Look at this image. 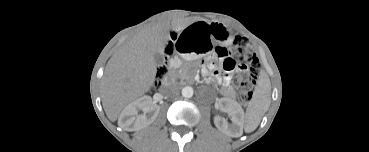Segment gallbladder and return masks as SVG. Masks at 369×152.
Masks as SVG:
<instances>
[{
	"mask_svg": "<svg viewBox=\"0 0 369 152\" xmlns=\"http://www.w3.org/2000/svg\"><path fill=\"white\" fill-rule=\"evenodd\" d=\"M161 57H158V61H160Z\"/></svg>",
	"mask_w": 369,
	"mask_h": 152,
	"instance_id": "1",
	"label": "gallbladder"
}]
</instances>
